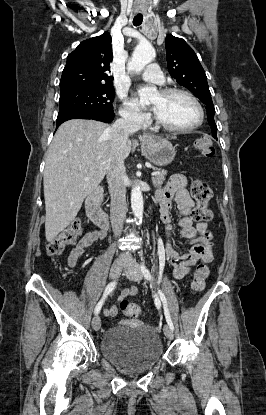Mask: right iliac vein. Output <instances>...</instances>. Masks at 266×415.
Here are the masks:
<instances>
[{"label": "right iliac vein", "instance_id": "right-iliac-vein-1", "mask_svg": "<svg viewBox=\"0 0 266 415\" xmlns=\"http://www.w3.org/2000/svg\"><path fill=\"white\" fill-rule=\"evenodd\" d=\"M123 263H124L123 260H116L112 264L111 269H110V274H109L111 279H116L120 275V273L123 269ZM92 327L95 331H98L101 328V319H100L99 315H96L93 318Z\"/></svg>", "mask_w": 266, "mask_h": 415}]
</instances>
